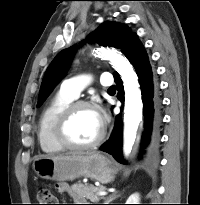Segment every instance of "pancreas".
Wrapping results in <instances>:
<instances>
[{
    "instance_id": "1",
    "label": "pancreas",
    "mask_w": 200,
    "mask_h": 205,
    "mask_svg": "<svg viewBox=\"0 0 200 205\" xmlns=\"http://www.w3.org/2000/svg\"><path fill=\"white\" fill-rule=\"evenodd\" d=\"M104 189V186L96 187L93 184H82L79 181L72 185L70 196L74 201H86L89 199L92 202H98L102 198L98 195V192Z\"/></svg>"
}]
</instances>
